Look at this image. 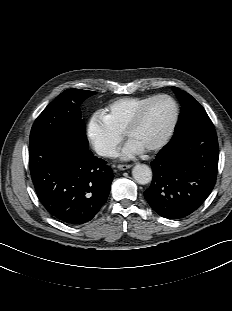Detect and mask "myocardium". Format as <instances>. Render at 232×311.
I'll return each mask as SVG.
<instances>
[{
    "instance_id": "obj_1",
    "label": "myocardium",
    "mask_w": 232,
    "mask_h": 311,
    "mask_svg": "<svg viewBox=\"0 0 232 311\" xmlns=\"http://www.w3.org/2000/svg\"><path fill=\"white\" fill-rule=\"evenodd\" d=\"M160 99H166L169 102H171L172 106H173V117L172 120L167 128V130L165 131V133L163 134V136L153 145L149 146L148 148L144 149L146 152H153L156 151L160 148H162L171 138L177 122H178V118H179V108L178 105L176 103V101L169 95L166 94H160V95H155L153 97H151L150 99H148L145 103H143L138 109L137 111L134 113L133 117L131 118V120L129 121V123L127 124L126 128L123 131L124 137L129 139V135L131 134V132L138 126V124L141 122L146 110L148 109V107L155 101L160 100Z\"/></svg>"
}]
</instances>
